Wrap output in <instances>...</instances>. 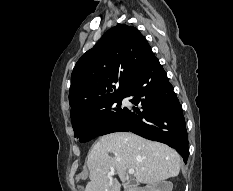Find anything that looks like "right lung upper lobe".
Here are the masks:
<instances>
[{"mask_svg":"<svg viewBox=\"0 0 233 191\" xmlns=\"http://www.w3.org/2000/svg\"><path fill=\"white\" fill-rule=\"evenodd\" d=\"M152 56L148 42L135 27L120 24L109 29L73 69L71 117L126 96Z\"/></svg>","mask_w":233,"mask_h":191,"instance_id":"right-lung-upper-lobe-1","label":"right lung upper lobe"}]
</instances>
